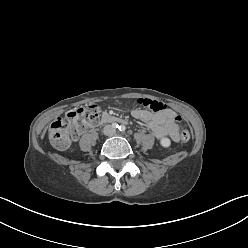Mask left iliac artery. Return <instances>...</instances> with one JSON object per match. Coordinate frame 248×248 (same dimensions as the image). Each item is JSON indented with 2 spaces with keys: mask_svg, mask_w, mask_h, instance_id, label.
Masks as SVG:
<instances>
[{
  "mask_svg": "<svg viewBox=\"0 0 248 248\" xmlns=\"http://www.w3.org/2000/svg\"><path fill=\"white\" fill-rule=\"evenodd\" d=\"M119 130L121 132H124L126 130V127L124 125L119 126Z\"/></svg>",
  "mask_w": 248,
  "mask_h": 248,
  "instance_id": "1",
  "label": "left iliac artery"
}]
</instances>
